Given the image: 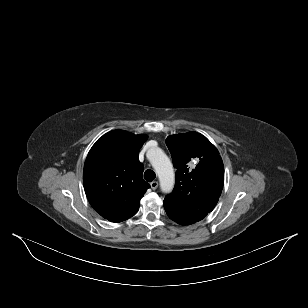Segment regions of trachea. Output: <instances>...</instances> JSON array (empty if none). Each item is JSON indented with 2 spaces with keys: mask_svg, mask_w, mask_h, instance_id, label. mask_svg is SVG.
Returning <instances> with one entry per match:
<instances>
[{
  "mask_svg": "<svg viewBox=\"0 0 308 308\" xmlns=\"http://www.w3.org/2000/svg\"><path fill=\"white\" fill-rule=\"evenodd\" d=\"M156 177V174L154 171L148 169L144 173V179L148 182H152Z\"/></svg>",
  "mask_w": 308,
  "mask_h": 308,
  "instance_id": "3493384b",
  "label": "trachea"
}]
</instances>
